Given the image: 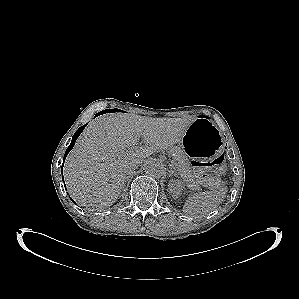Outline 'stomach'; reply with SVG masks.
Wrapping results in <instances>:
<instances>
[{
    "label": "stomach",
    "mask_w": 299,
    "mask_h": 299,
    "mask_svg": "<svg viewBox=\"0 0 299 299\" xmlns=\"http://www.w3.org/2000/svg\"><path fill=\"white\" fill-rule=\"evenodd\" d=\"M222 142L218 128L207 117L194 119L182 138L187 155L195 161H206L219 153Z\"/></svg>",
    "instance_id": "1"
}]
</instances>
